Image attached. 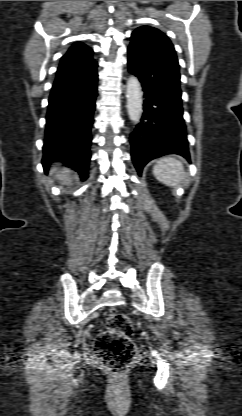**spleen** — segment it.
I'll list each match as a JSON object with an SVG mask.
<instances>
[{"mask_svg":"<svg viewBox=\"0 0 242 416\" xmlns=\"http://www.w3.org/2000/svg\"><path fill=\"white\" fill-rule=\"evenodd\" d=\"M153 175L170 187H176L185 179L183 164L173 156L160 158L153 167Z\"/></svg>","mask_w":242,"mask_h":416,"instance_id":"spleen-1","label":"spleen"}]
</instances>
